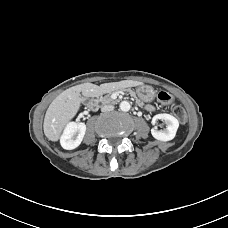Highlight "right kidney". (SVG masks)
Here are the masks:
<instances>
[{
    "label": "right kidney",
    "instance_id": "ca27d5eb",
    "mask_svg": "<svg viewBox=\"0 0 228 228\" xmlns=\"http://www.w3.org/2000/svg\"><path fill=\"white\" fill-rule=\"evenodd\" d=\"M86 125L85 123L70 122L66 126L63 135L61 136V146L66 150H72L77 148L85 135Z\"/></svg>",
    "mask_w": 228,
    "mask_h": 228
}]
</instances>
